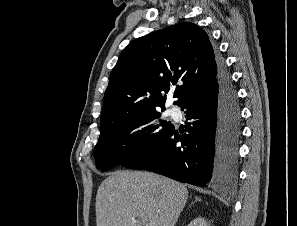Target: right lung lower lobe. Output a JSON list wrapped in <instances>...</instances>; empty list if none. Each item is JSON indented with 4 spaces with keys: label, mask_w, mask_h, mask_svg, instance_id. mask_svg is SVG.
Segmentation results:
<instances>
[{
    "label": "right lung lower lobe",
    "mask_w": 297,
    "mask_h": 226,
    "mask_svg": "<svg viewBox=\"0 0 297 226\" xmlns=\"http://www.w3.org/2000/svg\"><path fill=\"white\" fill-rule=\"evenodd\" d=\"M215 84L193 94L186 108L185 134L173 128L151 151L125 167L146 169L177 181L206 186L236 180L241 112L237 91L225 63L218 58Z\"/></svg>",
    "instance_id": "98d812e1"
}]
</instances>
